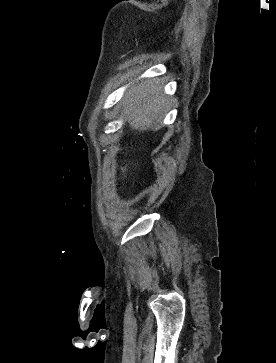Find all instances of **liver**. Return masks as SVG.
Wrapping results in <instances>:
<instances>
[{
	"label": "liver",
	"mask_w": 276,
	"mask_h": 363,
	"mask_svg": "<svg viewBox=\"0 0 276 363\" xmlns=\"http://www.w3.org/2000/svg\"><path fill=\"white\" fill-rule=\"evenodd\" d=\"M166 105L162 86L155 79L135 84L122 98L124 118L133 129H144L159 121Z\"/></svg>",
	"instance_id": "liver-1"
}]
</instances>
